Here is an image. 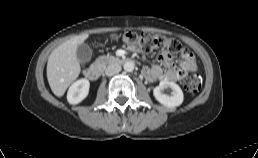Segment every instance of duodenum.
<instances>
[{
    "label": "duodenum",
    "instance_id": "duodenum-1",
    "mask_svg": "<svg viewBox=\"0 0 258 158\" xmlns=\"http://www.w3.org/2000/svg\"><path fill=\"white\" fill-rule=\"evenodd\" d=\"M132 60L128 59V58H123V57H116L110 60V63L112 64H127V63H131ZM102 73V67L99 65H95V66H91L88 67L84 74L85 77L90 79V80H96L100 77Z\"/></svg>",
    "mask_w": 258,
    "mask_h": 158
}]
</instances>
